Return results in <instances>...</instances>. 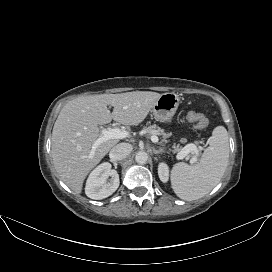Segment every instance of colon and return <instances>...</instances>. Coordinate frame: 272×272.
I'll return each mask as SVG.
<instances>
[{
    "label": "colon",
    "mask_w": 272,
    "mask_h": 272,
    "mask_svg": "<svg viewBox=\"0 0 272 272\" xmlns=\"http://www.w3.org/2000/svg\"><path fill=\"white\" fill-rule=\"evenodd\" d=\"M187 119L189 122L193 123L195 127L199 130H203L208 126V120L206 116L201 112L190 111L187 114Z\"/></svg>",
    "instance_id": "colon-1"
}]
</instances>
